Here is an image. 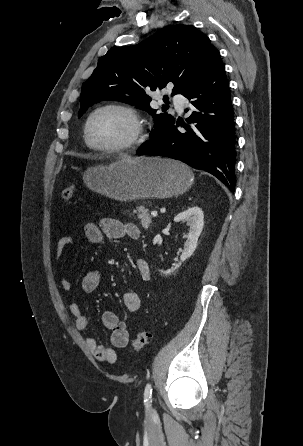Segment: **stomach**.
Masks as SVG:
<instances>
[{
  "label": "stomach",
  "instance_id": "0dacf381",
  "mask_svg": "<svg viewBox=\"0 0 303 446\" xmlns=\"http://www.w3.org/2000/svg\"><path fill=\"white\" fill-rule=\"evenodd\" d=\"M94 192L118 201L169 198L186 192L194 176L184 164L159 157L122 158L90 167L83 176Z\"/></svg>",
  "mask_w": 303,
  "mask_h": 446
}]
</instances>
